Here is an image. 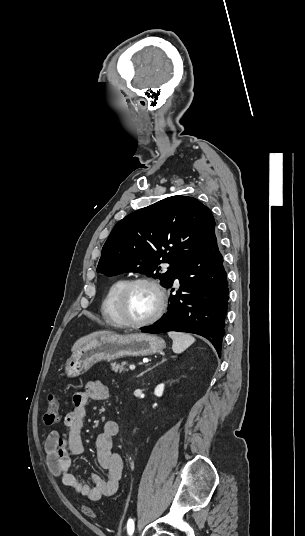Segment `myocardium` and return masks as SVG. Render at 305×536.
I'll return each instance as SVG.
<instances>
[{"label":"myocardium","instance_id":"myocardium-1","mask_svg":"<svg viewBox=\"0 0 305 536\" xmlns=\"http://www.w3.org/2000/svg\"><path fill=\"white\" fill-rule=\"evenodd\" d=\"M138 284L150 285L158 294L159 305L156 311L152 313L151 315H149L148 317H146L145 319L132 322L126 319L125 311H124V303H125V298L128 292L135 285H138ZM166 307H167V297H166V294L162 285L156 279L152 277H148V276L135 277V278H131L127 280L126 283L120 289L117 295V299H116V309H117L118 316L120 317L122 321V326L126 328H141V327L149 325L150 323L156 321L158 318L162 316Z\"/></svg>","mask_w":305,"mask_h":536}]
</instances>
